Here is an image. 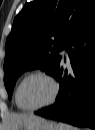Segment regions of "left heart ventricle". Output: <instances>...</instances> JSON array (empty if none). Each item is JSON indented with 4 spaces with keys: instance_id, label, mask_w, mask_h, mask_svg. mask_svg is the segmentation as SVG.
Segmentation results:
<instances>
[{
    "instance_id": "obj_1",
    "label": "left heart ventricle",
    "mask_w": 95,
    "mask_h": 130,
    "mask_svg": "<svg viewBox=\"0 0 95 130\" xmlns=\"http://www.w3.org/2000/svg\"><path fill=\"white\" fill-rule=\"evenodd\" d=\"M52 95V85L44 77L28 79L20 91L21 103L26 107H37L47 102Z\"/></svg>"
}]
</instances>
